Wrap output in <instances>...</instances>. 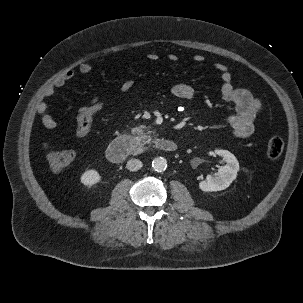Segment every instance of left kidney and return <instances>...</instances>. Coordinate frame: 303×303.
<instances>
[{
    "mask_svg": "<svg viewBox=\"0 0 303 303\" xmlns=\"http://www.w3.org/2000/svg\"><path fill=\"white\" fill-rule=\"evenodd\" d=\"M215 154L221 156L226 164L218 169L215 177L208 175L206 180L199 183V188L204 192H216L228 188L239 171V162L231 152L215 150Z\"/></svg>",
    "mask_w": 303,
    "mask_h": 303,
    "instance_id": "1",
    "label": "left kidney"
}]
</instances>
